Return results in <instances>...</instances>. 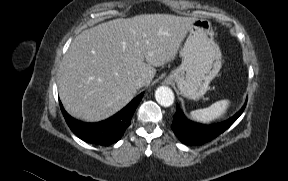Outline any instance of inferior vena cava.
<instances>
[{
	"label": "inferior vena cava",
	"instance_id": "obj_1",
	"mask_svg": "<svg viewBox=\"0 0 288 181\" xmlns=\"http://www.w3.org/2000/svg\"><path fill=\"white\" fill-rule=\"evenodd\" d=\"M145 85V81L143 78H138L134 81V86L138 89Z\"/></svg>",
	"mask_w": 288,
	"mask_h": 181
}]
</instances>
